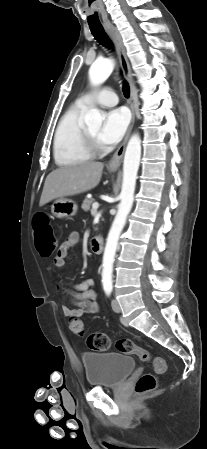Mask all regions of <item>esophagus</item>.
I'll use <instances>...</instances> for the list:
<instances>
[{"mask_svg": "<svg viewBox=\"0 0 207 449\" xmlns=\"http://www.w3.org/2000/svg\"><path fill=\"white\" fill-rule=\"evenodd\" d=\"M104 27L114 41L121 68L123 70L125 78L129 82L130 88H131L130 99H129V104H130V109H131V114H132L131 122H130V125L128 127L127 133L125 135V138H124L122 144L119 146V148L113 154V156L110 159L109 164H108V166L110 168H117L121 165L125 147H126V144H127L128 138L130 136V133H131V130H132V127L134 124V120H135V101H134L135 85H134L133 75H132V71H131V68L129 65V61L127 59L126 50H125V47H124V44H123V41H122L119 31L113 24H110V23L105 24Z\"/></svg>", "mask_w": 207, "mask_h": 449, "instance_id": "34e87169", "label": "esophagus"}]
</instances>
